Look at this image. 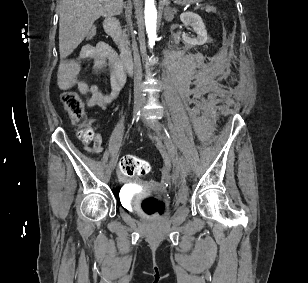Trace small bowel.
<instances>
[{
  "instance_id": "c3829d8e",
  "label": "small bowel",
  "mask_w": 308,
  "mask_h": 283,
  "mask_svg": "<svg viewBox=\"0 0 308 283\" xmlns=\"http://www.w3.org/2000/svg\"><path fill=\"white\" fill-rule=\"evenodd\" d=\"M81 60H92L97 70L108 68L111 87L109 93H103L97 86L89 85L80 78ZM61 69L71 85L76 86L80 94L86 97V103L90 107L99 106L105 109L118 98L126 81V74L117 53L103 41L83 46L79 57L65 60ZM91 141L92 145H88L90 141H85V150L93 154L101 153L103 150L101 135L95 132Z\"/></svg>"
}]
</instances>
